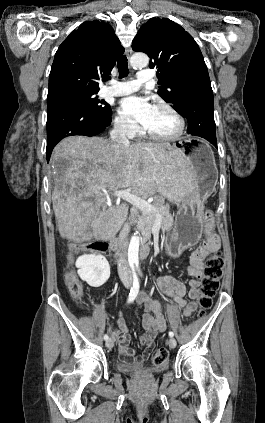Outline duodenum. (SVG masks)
<instances>
[{
	"label": "duodenum",
	"mask_w": 265,
	"mask_h": 423,
	"mask_svg": "<svg viewBox=\"0 0 265 423\" xmlns=\"http://www.w3.org/2000/svg\"><path fill=\"white\" fill-rule=\"evenodd\" d=\"M110 247H111V250L112 251L116 252L117 254H120V246H119V243H118V240L117 239H112L111 240ZM149 254H150V247H149L148 244L145 243L143 245L142 249H141V255H142V257L145 258Z\"/></svg>",
	"instance_id": "obj_1"
}]
</instances>
